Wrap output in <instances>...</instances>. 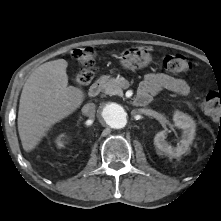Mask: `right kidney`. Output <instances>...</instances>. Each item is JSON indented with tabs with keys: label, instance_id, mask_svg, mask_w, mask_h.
<instances>
[{
	"label": "right kidney",
	"instance_id": "1",
	"mask_svg": "<svg viewBox=\"0 0 221 221\" xmlns=\"http://www.w3.org/2000/svg\"><path fill=\"white\" fill-rule=\"evenodd\" d=\"M55 142H56L58 147H60V148L63 147L64 143H65L64 135H60L59 137H57Z\"/></svg>",
	"mask_w": 221,
	"mask_h": 221
}]
</instances>
